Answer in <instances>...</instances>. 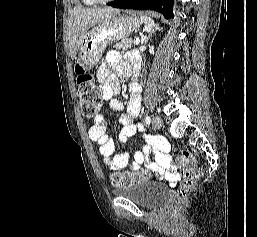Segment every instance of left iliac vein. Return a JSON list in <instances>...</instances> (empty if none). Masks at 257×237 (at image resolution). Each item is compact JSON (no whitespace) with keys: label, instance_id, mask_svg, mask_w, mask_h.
Listing matches in <instances>:
<instances>
[{"label":"left iliac vein","instance_id":"obj_1","mask_svg":"<svg viewBox=\"0 0 257 237\" xmlns=\"http://www.w3.org/2000/svg\"><path fill=\"white\" fill-rule=\"evenodd\" d=\"M162 123H163V121H162L161 117H159V116H154L153 117L152 126L154 128H160L162 126Z\"/></svg>","mask_w":257,"mask_h":237}]
</instances>
